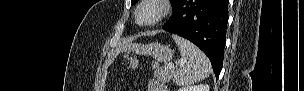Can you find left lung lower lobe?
Returning <instances> with one entry per match:
<instances>
[{"label": "left lung lower lobe", "instance_id": "obj_1", "mask_svg": "<svg viewBox=\"0 0 304 91\" xmlns=\"http://www.w3.org/2000/svg\"><path fill=\"white\" fill-rule=\"evenodd\" d=\"M228 0H179L163 30L197 45L210 59L216 78L223 66Z\"/></svg>", "mask_w": 304, "mask_h": 91}]
</instances>
